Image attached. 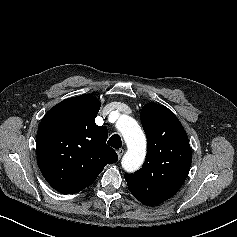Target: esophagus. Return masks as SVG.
<instances>
[{
  "instance_id": "obj_1",
  "label": "esophagus",
  "mask_w": 237,
  "mask_h": 237,
  "mask_svg": "<svg viewBox=\"0 0 237 237\" xmlns=\"http://www.w3.org/2000/svg\"><path fill=\"white\" fill-rule=\"evenodd\" d=\"M117 154H118V157L120 159L123 156V154H124V149L117 150Z\"/></svg>"
}]
</instances>
